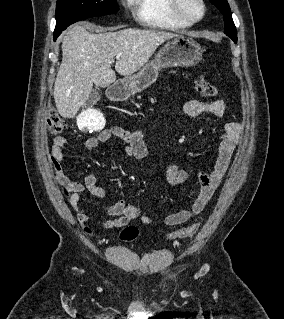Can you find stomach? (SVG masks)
I'll list each match as a JSON object with an SVG mask.
<instances>
[{
	"instance_id": "stomach-1",
	"label": "stomach",
	"mask_w": 284,
	"mask_h": 319,
	"mask_svg": "<svg viewBox=\"0 0 284 319\" xmlns=\"http://www.w3.org/2000/svg\"><path fill=\"white\" fill-rule=\"evenodd\" d=\"M201 59L200 44L190 37L178 35L160 49L155 59L147 63L137 74L122 79L121 83L128 93H138L156 81L160 69L174 66H193Z\"/></svg>"
}]
</instances>
